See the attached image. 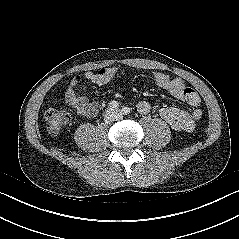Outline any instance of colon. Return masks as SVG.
<instances>
[{"instance_id": "obj_1", "label": "colon", "mask_w": 239, "mask_h": 239, "mask_svg": "<svg viewBox=\"0 0 239 239\" xmlns=\"http://www.w3.org/2000/svg\"><path fill=\"white\" fill-rule=\"evenodd\" d=\"M183 96L190 106H197L200 103L198 93L191 87L184 88ZM45 121L49 133L57 134L71 122V114L66 109H48L45 112Z\"/></svg>"}]
</instances>
